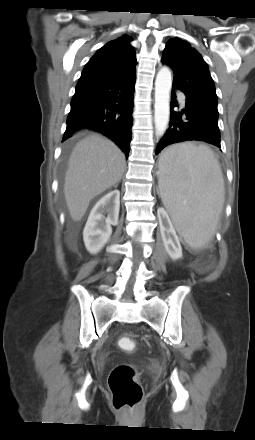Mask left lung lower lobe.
I'll return each mask as SVG.
<instances>
[{"label": "left lung lower lobe", "instance_id": "0a47b994", "mask_svg": "<svg viewBox=\"0 0 255 440\" xmlns=\"http://www.w3.org/2000/svg\"><path fill=\"white\" fill-rule=\"evenodd\" d=\"M175 89L173 86L171 99L174 102H171L169 128L157 146L156 155L170 144L191 140L207 142L220 148L217 108L193 102L186 97L185 109L175 112L173 108L178 106Z\"/></svg>", "mask_w": 255, "mask_h": 440}]
</instances>
